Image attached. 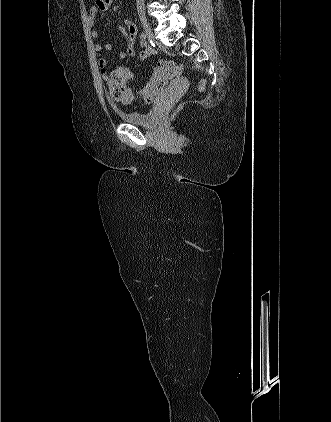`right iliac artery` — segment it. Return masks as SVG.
I'll use <instances>...</instances> for the list:
<instances>
[{
  "instance_id": "obj_1",
  "label": "right iliac artery",
  "mask_w": 331,
  "mask_h": 422,
  "mask_svg": "<svg viewBox=\"0 0 331 422\" xmlns=\"http://www.w3.org/2000/svg\"><path fill=\"white\" fill-rule=\"evenodd\" d=\"M140 38H141L142 40H144V39H146V35H145L144 33H141Z\"/></svg>"
}]
</instances>
